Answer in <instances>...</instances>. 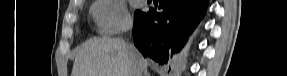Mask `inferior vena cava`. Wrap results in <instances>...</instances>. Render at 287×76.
<instances>
[{
  "instance_id": "602c4592",
  "label": "inferior vena cava",
  "mask_w": 287,
  "mask_h": 76,
  "mask_svg": "<svg viewBox=\"0 0 287 76\" xmlns=\"http://www.w3.org/2000/svg\"><path fill=\"white\" fill-rule=\"evenodd\" d=\"M134 50L135 47L132 44L126 43V51L132 61V76H142V71L134 59Z\"/></svg>"
}]
</instances>
